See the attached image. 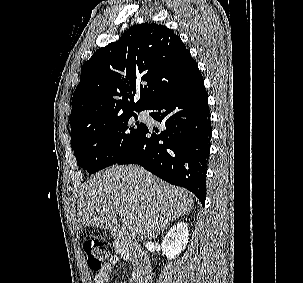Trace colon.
<instances>
[{
  "mask_svg": "<svg viewBox=\"0 0 303 283\" xmlns=\"http://www.w3.org/2000/svg\"><path fill=\"white\" fill-rule=\"evenodd\" d=\"M88 266L93 271L102 270L104 264L111 257L112 246L109 242L93 239L83 244Z\"/></svg>",
  "mask_w": 303,
  "mask_h": 283,
  "instance_id": "5ec220e1",
  "label": "colon"
}]
</instances>
